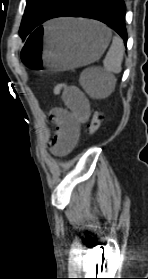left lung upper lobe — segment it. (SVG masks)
Wrapping results in <instances>:
<instances>
[{"label":"left lung upper lobe","instance_id":"5c2ea615","mask_svg":"<svg viewBox=\"0 0 148 279\" xmlns=\"http://www.w3.org/2000/svg\"><path fill=\"white\" fill-rule=\"evenodd\" d=\"M66 0H27L24 16L21 22L19 34L24 40L26 36L49 19V17Z\"/></svg>","mask_w":148,"mask_h":279}]
</instances>
